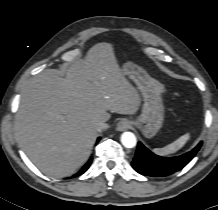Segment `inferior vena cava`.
I'll list each match as a JSON object with an SVG mask.
<instances>
[{"label": "inferior vena cava", "mask_w": 218, "mask_h": 210, "mask_svg": "<svg viewBox=\"0 0 218 210\" xmlns=\"http://www.w3.org/2000/svg\"><path fill=\"white\" fill-rule=\"evenodd\" d=\"M96 128H97V130H105V129L109 128V125L105 121H99L96 124Z\"/></svg>", "instance_id": "obj_1"}]
</instances>
